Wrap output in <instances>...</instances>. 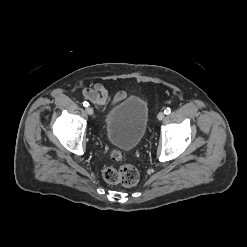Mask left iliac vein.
Returning <instances> with one entry per match:
<instances>
[{
    "label": "left iliac vein",
    "mask_w": 247,
    "mask_h": 247,
    "mask_svg": "<svg viewBox=\"0 0 247 247\" xmlns=\"http://www.w3.org/2000/svg\"><path fill=\"white\" fill-rule=\"evenodd\" d=\"M164 117H165V115H164V112H162V111L159 112L158 115H157L158 120H163Z\"/></svg>",
    "instance_id": "4c4485c4"
}]
</instances>
